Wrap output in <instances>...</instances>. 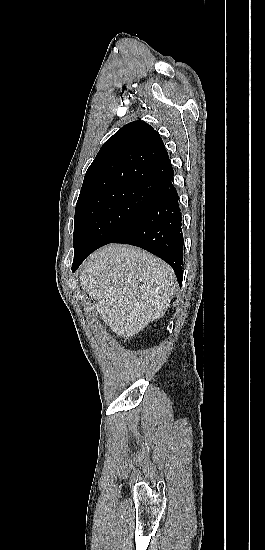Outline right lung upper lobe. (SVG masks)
<instances>
[{
    "label": "right lung upper lobe",
    "mask_w": 265,
    "mask_h": 550,
    "mask_svg": "<svg viewBox=\"0 0 265 550\" xmlns=\"http://www.w3.org/2000/svg\"><path fill=\"white\" fill-rule=\"evenodd\" d=\"M172 172L159 134L149 124L134 121L103 144L85 174L77 202L122 187L160 186Z\"/></svg>",
    "instance_id": "cb5924a9"
}]
</instances>
